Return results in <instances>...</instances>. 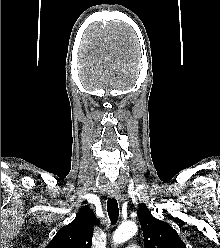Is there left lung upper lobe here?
Returning a JSON list of instances; mask_svg holds the SVG:
<instances>
[{
    "mask_svg": "<svg viewBox=\"0 0 220 248\" xmlns=\"http://www.w3.org/2000/svg\"><path fill=\"white\" fill-rule=\"evenodd\" d=\"M137 214L145 248H186L177 232L167 223L154 218L145 205L139 206Z\"/></svg>",
    "mask_w": 220,
    "mask_h": 248,
    "instance_id": "5c2ea615",
    "label": "left lung upper lobe"
}]
</instances>
